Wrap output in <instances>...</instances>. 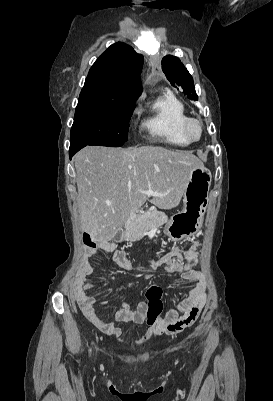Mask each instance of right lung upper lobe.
I'll list each match as a JSON object with an SVG mask.
<instances>
[{
  "label": "right lung upper lobe",
  "mask_w": 273,
  "mask_h": 401,
  "mask_svg": "<svg viewBox=\"0 0 273 401\" xmlns=\"http://www.w3.org/2000/svg\"><path fill=\"white\" fill-rule=\"evenodd\" d=\"M143 61V56L131 46L121 42L111 45L92 65L80 97L134 104L142 92Z\"/></svg>",
  "instance_id": "right-lung-upper-lobe-1"
}]
</instances>
